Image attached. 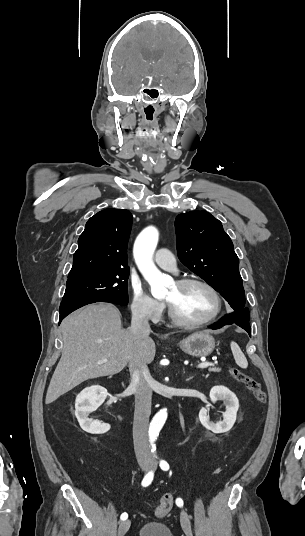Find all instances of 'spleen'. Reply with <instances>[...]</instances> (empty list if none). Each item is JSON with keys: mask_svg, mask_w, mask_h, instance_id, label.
I'll return each instance as SVG.
<instances>
[{"mask_svg": "<svg viewBox=\"0 0 305 536\" xmlns=\"http://www.w3.org/2000/svg\"><path fill=\"white\" fill-rule=\"evenodd\" d=\"M230 348L232 350V354L234 356V360L237 364V366H240V368H248V362L243 354V352H241L238 344H236V342H231L230 344Z\"/></svg>", "mask_w": 305, "mask_h": 536, "instance_id": "1", "label": "spleen"}]
</instances>
